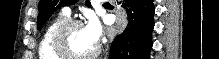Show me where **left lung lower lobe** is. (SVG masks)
Listing matches in <instances>:
<instances>
[{"label":"left lung lower lobe","mask_w":219,"mask_h":59,"mask_svg":"<svg viewBox=\"0 0 219 59\" xmlns=\"http://www.w3.org/2000/svg\"><path fill=\"white\" fill-rule=\"evenodd\" d=\"M128 26L111 44L109 59H150L154 27L153 0H124Z\"/></svg>","instance_id":"0a47b994"}]
</instances>
